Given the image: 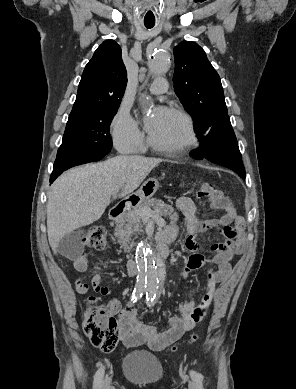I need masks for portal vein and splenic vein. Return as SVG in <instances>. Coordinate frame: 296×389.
<instances>
[{"instance_id": "1", "label": "portal vein and splenic vein", "mask_w": 296, "mask_h": 389, "mask_svg": "<svg viewBox=\"0 0 296 389\" xmlns=\"http://www.w3.org/2000/svg\"><path fill=\"white\" fill-rule=\"evenodd\" d=\"M117 193L118 191H116L114 194H113V197L115 198L117 196ZM140 215L145 218V219H149V218H152L154 219L155 221H157L158 223H160L161 225H164L165 224V221L158 215V214H155L151 209L149 208H142L140 210Z\"/></svg>"}]
</instances>
